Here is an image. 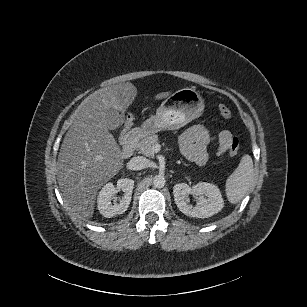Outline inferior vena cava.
<instances>
[{
  "mask_svg": "<svg viewBox=\"0 0 307 307\" xmlns=\"http://www.w3.org/2000/svg\"><path fill=\"white\" fill-rule=\"evenodd\" d=\"M130 164L134 170H142L148 167L149 160L143 156H137L131 159Z\"/></svg>",
  "mask_w": 307,
  "mask_h": 307,
  "instance_id": "602c4592",
  "label": "inferior vena cava"
}]
</instances>
